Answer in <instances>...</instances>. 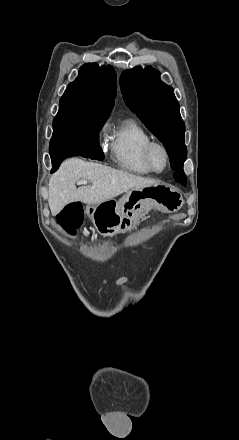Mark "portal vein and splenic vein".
Returning a JSON list of instances; mask_svg holds the SVG:
<instances>
[{
  "label": "portal vein and splenic vein",
  "instance_id": "1",
  "mask_svg": "<svg viewBox=\"0 0 239 440\" xmlns=\"http://www.w3.org/2000/svg\"><path fill=\"white\" fill-rule=\"evenodd\" d=\"M82 184H87V180H80V182H77V186H82Z\"/></svg>",
  "mask_w": 239,
  "mask_h": 440
}]
</instances>
